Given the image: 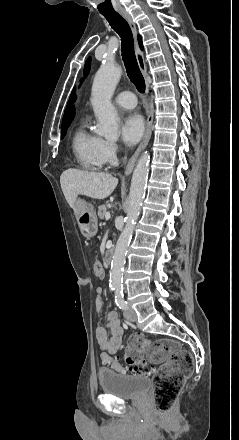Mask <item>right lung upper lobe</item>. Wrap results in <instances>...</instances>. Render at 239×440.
<instances>
[{
  "mask_svg": "<svg viewBox=\"0 0 239 440\" xmlns=\"http://www.w3.org/2000/svg\"><path fill=\"white\" fill-rule=\"evenodd\" d=\"M138 41H139L140 48L143 49V45H142V41H141L140 35H138ZM74 91H75V89L73 90V92H72V94L70 96V99L68 101L67 108L65 109L64 117H63V120H62V127L70 124L71 121L74 118L75 108L72 105L73 102L75 101V97H76Z\"/></svg>",
  "mask_w": 239,
  "mask_h": 440,
  "instance_id": "cb5924a9",
  "label": "right lung upper lobe"
}]
</instances>
